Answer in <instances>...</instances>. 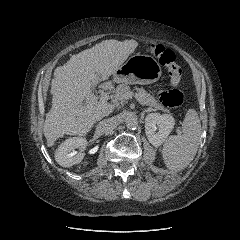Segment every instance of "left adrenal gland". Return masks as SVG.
Wrapping results in <instances>:
<instances>
[{
	"label": "left adrenal gland",
	"instance_id": "left-adrenal-gland-1",
	"mask_svg": "<svg viewBox=\"0 0 240 240\" xmlns=\"http://www.w3.org/2000/svg\"><path fill=\"white\" fill-rule=\"evenodd\" d=\"M144 112H150V110H149V109H147V110H145Z\"/></svg>",
	"mask_w": 240,
	"mask_h": 240
}]
</instances>
